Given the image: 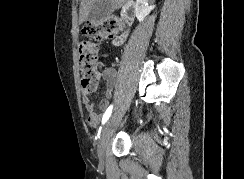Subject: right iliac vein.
Returning <instances> with one entry per match:
<instances>
[{
	"label": "right iliac vein",
	"mask_w": 244,
	"mask_h": 179,
	"mask_svg": "<svg viewBox=\"0 0 244 179\" xmlns=\"http://www.w3.org/2000/svg\"><path fill=\"white\" fill-rule=\"evenodd\" d=\"M114 121H115V116H111L109 120L106 122L101 132V136L98 142V157L101 161L104 160L105 158V150L108 144L111 128L113 126Z\"/></svg>",
	"instance_id": "right-iliac-vein-1"
}]
</instances>
